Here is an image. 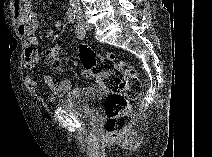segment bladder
I'll return each instance as SVG.
<instances>
[{
  "label": "bladder",
  "mask_w": 212,
  "mask_h": 157,
  "mask_svg": "<svg viewBox=\"0 0 212 157\" xmlns=\"http://www.w3.org/2000/svg\"><path fill=\"white\" fill-rule=\"evenodd\" d=\"M105 99V93L92 86L73 88L58 106L75 114L81 115L87 120H96L99 114L98 104Z\"/></svg>",
  "instance_id": "bladder-1"
}]
</instances>
